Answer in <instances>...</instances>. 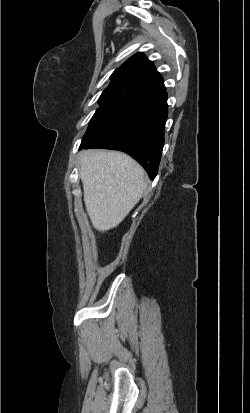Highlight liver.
Masks as SVG:
<instances>
[{
  "label": "liver",
  "mask_w": 250,
  "mask_h": 413,
  "mask_svg": "<svg viewBox=\"0 0 250 413\" xmlns=\"http://www.w3.org/2000/svg\"><path fill=\"white\" fill-rule=\"evenodd\" d=\"M144 169L118 151L85 150L80 158L84 203L93 227L118 226L141 199L147 184Z\"/></svg>",
  "instance_id": "6515ba94"
}]
</instances>
